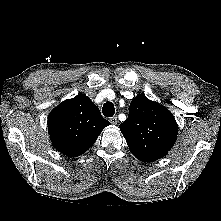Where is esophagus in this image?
<instances>
[{
    "instance_id": "34e87169",
    "label": "esophagus",
    "mask_w": 221,
    "mask_h": 221,
    "mask_svg": "<svg viewBox=\"0 0 221 221\" xmlns=\"http://www.w3.org/2000/svg\"><path fill=\"white\" fill-rule=\"evenodd\" d=\"M110 122L112 123V124H114V125H116L117 123H118V119H117V117H111L110 118Z\"/></svg>"
}]
</instances>
